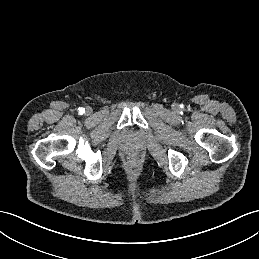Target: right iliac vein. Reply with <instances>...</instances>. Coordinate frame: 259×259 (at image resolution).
I'll use <instances>...</instances> for the list:
<instances>
[{
	"mask_svg": "<svg viewBox=\"0 0 259 259\" xmlns=\"http://www.w3.org/2000/svg\"><path fill=\"white\" fill-rule=\"evenodd\" d=\"M86 111H87V112H89L90 110H89V109H87Z\"/></svg>",
	"mask_w": 259,
	"mask_h": 259,
	"instance_id": "1",
	"label": "right iliac vein"
}]
</instances>
